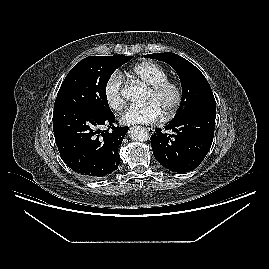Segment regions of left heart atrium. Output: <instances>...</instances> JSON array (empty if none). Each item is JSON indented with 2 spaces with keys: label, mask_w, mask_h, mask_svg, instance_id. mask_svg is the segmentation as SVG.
Masks as SVG:
<instances>
[{
  "label": "left heart atrium",
  "mask_w": 269,
  "mask_h": 269,
  "mask_svg": "<svg viewBox=\"0 0 269 269\" xmlns=\"http://www.w3.org/2000/svg\"><path fill=\"white\" fill-rule=\"evenodd\" d=\"M162 117L160 109L154 102H148L143 106H131L121 117V122L126 125L152 124Z\"/></svg>",
  "instance_id": "39dd6f15"
}]
</instances>
